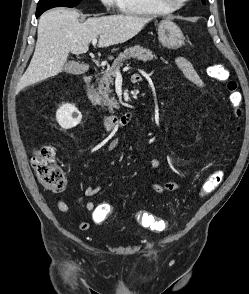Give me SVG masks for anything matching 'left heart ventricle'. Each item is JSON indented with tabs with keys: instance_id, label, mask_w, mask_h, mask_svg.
<instances>
[{
	"instance_id": "1",
	"label": "left heart ventricle",
	"mask_w": 249,
	"mask_h": 294,
	"mask_svg": "<svg viewBox=\"0 0 249 294\" xmlns=\"http://www.w3.org/2000/svg\"><path fill=\"white\" fill-rule=\"evenodd\" d=\"M183 0H172L173 3H178V2H181Z\"/></svg>"
}]
</instances>
